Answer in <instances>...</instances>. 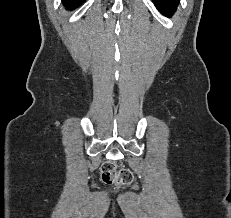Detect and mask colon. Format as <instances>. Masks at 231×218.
Segmentation results:
<instances>
[{"label":"colon","instance_id":"5ec220e1","mask_svg":"<svg viewBox=\"0 0 231 218\" xmlns=\"http://www.w3.org/2000/svg\"><path fill=\"white\" fill-rule=\"evenodd\" d=\"M101 178L105 184L128 185L133 181V174L127 168L118 169L113 161H106L101 166Z\"/></svg>","mask_w":231,"mask_h":218}]
</instances>
